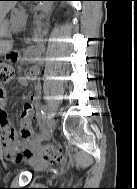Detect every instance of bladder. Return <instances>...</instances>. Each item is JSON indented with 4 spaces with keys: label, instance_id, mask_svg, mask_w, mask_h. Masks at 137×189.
Wrapping results in <instances>:
<instances>
[{
    "label": "bladder",
    "instance_id": "31cf9c89",
    "mask_svg": "<svg viewBox=\"0 0 137 189\" xmlns=\"http://www.w3.org/2000/svg\"><path fill=\"white\" fill-rule=\"evenodd\" d=\"M36 169L39 171H45L48 169V165L46 163H38Z\"/></svg>",
    "mask_w": 137,
    "mask_h": 189
}]
</instances>
